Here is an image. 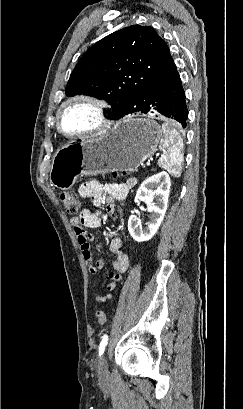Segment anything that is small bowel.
I'll list each match as a JSON object with an SVG mask.
<instances>
[{
  "mask_svg": "<svg viewBox=\"0 0 243 409\" xmlns=\"http://www.w3.org/2000/svg\"><path fill=\"white\" fill-rule=\"evenodd\" d=\"M136 185V179L130 178L124 183H114L103 186L98 181L90 180L85 182L79 189L80 196L90 198L94 206L99 207L105 205L108 214L115 213V202L126 198L131 188ZM106 193V197L103 194ZM71 223L77 236L79 246L89 273L98 275L104 266L101 258L94 260V254L90 247V242L94 239L92 233L85 231V228L98 229L102 226V220L98 211L83 209L79 216L73 218ZM109 250L115 254L113 268L115 273L109 275V282L106 284V292L99 293L96 296L98 303L105 302L112 298L111 291L116 287L121 280V275L124 274L129 267V258L123 251V242L120 238L111 240Z\"/></svg>",
  "mask_w": 243,
  "mask_h": 409,
  "instance_id": "obj_1",
  "label": "small bowel"
}]
</instances>
